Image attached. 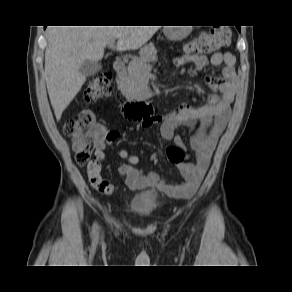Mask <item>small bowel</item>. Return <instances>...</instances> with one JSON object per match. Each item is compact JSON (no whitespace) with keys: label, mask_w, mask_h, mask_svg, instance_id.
Here are the masks:
<instances>
[{"label":"small bowel","mask_w":292,"mask_h":292,"mask_svg":"<svg viewBox=\"0 0 292 292\" xmlns=\"http://www.w3.org/2000/svg\"><path fill=\"white\" fill-rule=\"evenodd\" d=\"M208 62L213 66H223L221 76H208L206 82L212 89L207 101L198 107L182 104L176 110L161 117L156 116L142 122V127L161 123V135L175 145L184 147L182 139L174 132L179 125L196 126L195 134L190 139V146L196 153L194 163L177 165L184 179L181 183L168 182L157 173L145 174L136 165L140 158L126 150L119 152V157L126 160L119 166V174L127 186L133 190L155 187L175 198H189L198 189L210 163L212 153L223 133L231 115V104L235 97L237 75L235 57L229 52H215L210 59L204 55L183 54L173 61L174 70L185 65H192L202 70ZM118 137L117 131L99 128L95 137L97 151L103 155L104 149Z\"/></svg>","instance_id":"small-bowel-1"}]
</instances>
